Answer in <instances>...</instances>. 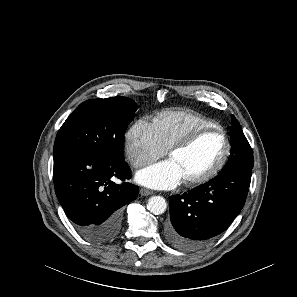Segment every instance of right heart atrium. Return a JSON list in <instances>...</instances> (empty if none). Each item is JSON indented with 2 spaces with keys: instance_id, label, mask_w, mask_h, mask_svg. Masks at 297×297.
<instances>
[{
  "instance_id": "1",
  "label": "right heart atrium",
  "mask_w": 297,
  "mask_h": 297,
  "mask_svg": "<svg viewBox=\"0 0 297 297\" xmlns=\"http://www.w3.org/2000/svg\"><path fill=\"white\" fill-rule=\"evenodd\" d=\"M124 152L129 163L140 168L164 156L167 150L158 141L153 124L140 119L125 133Z\"/></svg>"
}]
</instances>
